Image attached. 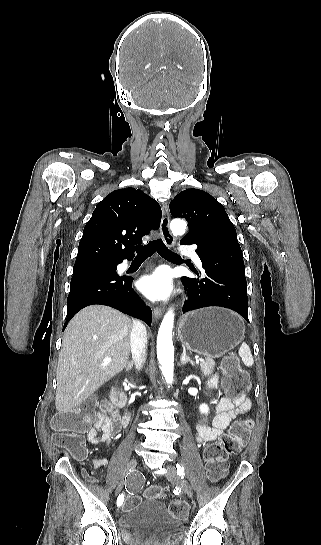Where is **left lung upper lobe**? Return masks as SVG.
Returning a JSON list of instances; mask_svg holds the SVG:
<instances>
[{
  "instance_id": "left-lung-upper-lobe-1",
  "label": "left lung upper lobe",
  "mask_w": 321,
  "mask_h": 545,
  "mask_svg": "<svg viewBox=\"0 0 321 545\" xmlns=\"http://www.w3.org/2000/svg\"><path fill=\"white\" fill-rule=\"evenodd\" d=\"M173 217L186 218L190 229L180 242L200 240L213 235H236L224 207L210 194L199 189L180 192L170 204Z\"/></svg>"
}]
</instances>
